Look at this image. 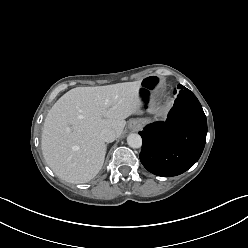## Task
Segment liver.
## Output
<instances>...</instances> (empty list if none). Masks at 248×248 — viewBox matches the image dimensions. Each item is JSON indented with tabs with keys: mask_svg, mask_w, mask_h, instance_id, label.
I'll use <instances>...</instances> for the list:
<instances>
[{
	"mask_svg": "<svg viewBox=\"0 0 248 248\" xmlns=\"http://www.w3.org/2000/svg\"><path fill=\"white\" fill-rule=\"evenodd\" d=\"M141 81L97 87H76L65 93L48 112L41 148L52 171L70 183H86L101 170L106 144L103 129L119 137L125 119L143 114Z\"/></svg>",
	"mask_w": 248,
	"mask_h": 248,
	"instance_id": "liver-1",
	"label": "liver"
}]
</instances>
